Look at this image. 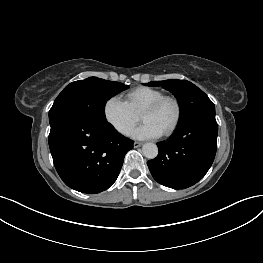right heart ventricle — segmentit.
<instances>
[{
    "label": "right heart ventricle",
    "instance_id": "right-heart-ventricle-1",
    "mask_svg": "<svg viewBox=\"0 0 263 263\" xmlns=\"http://www.w3.org/2000/svg\"><path fill=\"white\" fill-rule=\"evenodd\" d=\"M163 95L161 90L141 86L129 91L125 95V101L136 114H139L147 104Z\"/></svg>",
    "mask_w": 263,
    "mask_h": 263
}]
</instances>
